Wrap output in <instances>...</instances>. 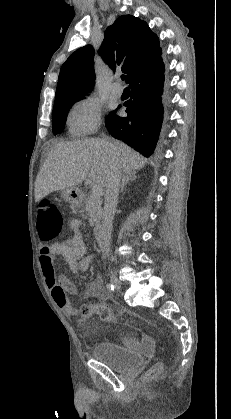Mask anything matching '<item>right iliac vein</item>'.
<instances>
[{"label": "right iliac vein", "mask_w": 231, "mask_h": 419, "mask_svg": "<svg viewBox=\"0 0 231 419\" xmlns=\"http://www.w3.org/2000/svg\"><path fill=\"white\" fill-rule=\"evenodd\" d=\"M110 281L117 289H121V282L113 273H110Z\"/></svg>", "instance_id": "obj_1"}]
</instances>
